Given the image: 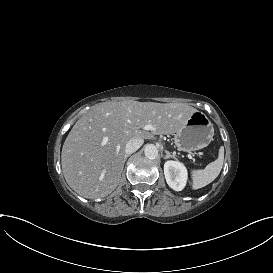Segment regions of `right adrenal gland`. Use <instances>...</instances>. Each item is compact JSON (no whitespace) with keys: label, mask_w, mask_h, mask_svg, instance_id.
I'll use <instances>...</instances> for the list:
<instances>
[{"label":"right adrenal gland","mask_w":273,"mask_h":273,"mask_svg":"<svg viewBox=\"0 0 273 273\" xmlns=\"http://www.w3.org/2000/svg\"><path fill=\"white\" fill-rule=\"evenodd\" d=\"M130 156H131L130 154H126V155H125L124 163H125V161L127 160V158L130 157Z\"/></svg>","instance_id":"2a0ac1e0"}]
</instances>
